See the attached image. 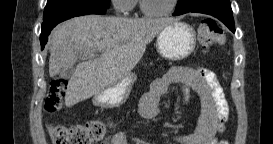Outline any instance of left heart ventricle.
<instances>
[{"instance_id":"1","label":"left heart ventricle","mask_w":273,"mask_h":144,"mask_svg":"<svg viewBox=\"0 0 273 144\" xmlns=\"http://www.w3.org/2000/svg\"><path fill=\"white\" fill-rule=\"evenodd\" d=\"M146 2L151 10H163L170 6L172 0H146Z\"/></svg>"}]
</instances>
